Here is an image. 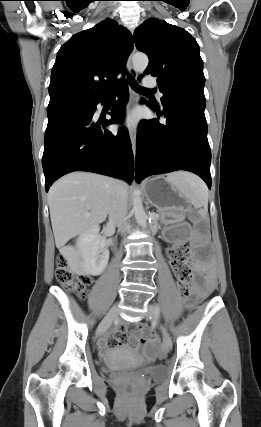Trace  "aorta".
Listing matches in <instances>:
<instances>
[{
	"label": "aorta",
	"mask_w": 261,
	"mask_h": 427,
	"mask_svg": "<svg viewBox=\"0 0 261 427\" xmlns=\"http://www.w3.org/2000/svg\"><path fill=\"white\" fill-rule=\"evenodd\" d=\"M133 67L136 71H144L149 63V59L144 53H136L132 57ZM133 212L136 218L137 223L144 229H147L148 216L145 213L143 208L142 199L140 197V192L135 191L133 197Z\"/></svg>",
	"instance_id": "1"
}]
</instances>
